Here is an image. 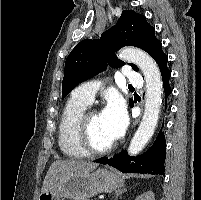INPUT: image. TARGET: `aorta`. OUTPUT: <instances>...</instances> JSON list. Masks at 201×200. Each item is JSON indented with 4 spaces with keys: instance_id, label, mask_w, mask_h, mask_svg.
Listing matches in <instances>:
<instances>
[{
    "instance_id": "obj_1",
    "label": "aorta",
    "mask_w": 201,
    "mask_h": 200,
    "mask_svg": "<svg viewBox=\"0 0 201 200\" xmlns=\"http://www.w3.org/2000/svg\"><path fill=\"white\" fill-rule=\"evenodd\" d=\"M120 56L124 61L136 64L143 72L146 82L144 115L128 148L129 155H136L144 148L155 131L162 103L163 85L156 62L146 52L128 47L120 51Z\"/></svg>"
}]
</instances>
